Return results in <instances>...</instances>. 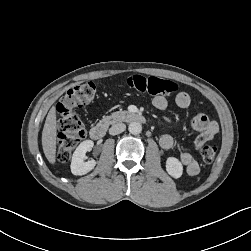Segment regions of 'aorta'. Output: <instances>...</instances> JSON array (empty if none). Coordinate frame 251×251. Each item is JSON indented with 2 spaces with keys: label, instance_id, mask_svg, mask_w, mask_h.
<instances>
[{
  "label": "aorta",
  "instance_id": "1",
  "mask_svg": "<svg viewBox=\"0 0 251 251\" xmlns=\"http://www.w3.org/2000/svg\"><path fill=\"white\" fill-rule=\"evenodd\" d=\"M128 130L133 135L140 134L142 131V125L139 122H131L128 126Z\"/></svg>",
  "mask_w": 251,
  "mask_h": 251
}]
</instances>
